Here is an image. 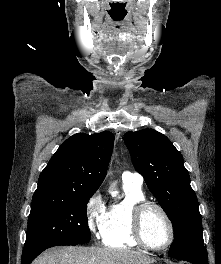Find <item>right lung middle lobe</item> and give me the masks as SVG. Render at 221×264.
Masks as SVG:
<instances>
[{
  "mask_svg": "<svg viewBox=\"0 0 221 264\" xmlns=\"http://www.w3.org/2000/svg\"><path fill=\"white\" fill-rule=\"evenodd\" d=\"M94 193H34L22 257L57 245L91 238L87 203Z\"/></svg>",
  "mask_w": 221,
  "mask_h": 264,
  "instance_id": "1",
  "label": "right lung middle lobe"
}]
</instances>
